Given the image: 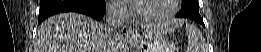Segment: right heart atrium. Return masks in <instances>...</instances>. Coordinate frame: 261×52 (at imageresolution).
<instances>
[{"mask_svg": "<svg viewBox=\"0 0 261 52\" xmlns=\"http://www.w3.org/2000/svg\"><path fill=\"white\" fill-rule=\"evenodd\" d=\"M110 13L115 18H125L128 15V10L122 2L116 1L110 6Z\"/></svg>", "mask_w": 261, "mask_h": 52, "instance_id": "1", "label": "right heart atrium"}]
</instances>
